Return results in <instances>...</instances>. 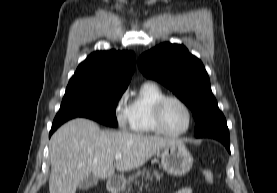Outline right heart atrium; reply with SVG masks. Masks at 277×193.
Listing matches in <instances>:
<instances>
[{
	"mask_svg": "<svg viewBox=\"0 0 277 193\" xmlns=\"http://www.w3.org/2000/svg\"><path fill=\"white\" fill-rule=\"evenodd\" d=\"M125 98H126V93H124L119 98L114 111L116 123L121 129H125L129 124L128 110L124 104Z\"/></svg>",
	"mask_w": 277,
	"mask_h": 193,
	"instance_id": "1",
	"label": "right heart atrium"
}]
</instances>
